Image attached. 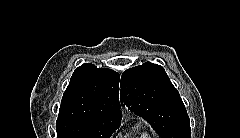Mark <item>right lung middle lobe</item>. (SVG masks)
Wrapping results in <instances>:
<instances>
[{
	"label": "right lung middle lobe",
	"instance_id": "obj_1",
	"mask_svg": "<svg viewBox=\"0 0 240 138\" xmlns=\"http://www.w3.org/2000/svg\"><path fill=\"white\" fill-rule=\"evenodd\" d=\"M118 127L76 119H58L56 130L58 138H109Z\"/></svg>",
	"mask_w": 240,
	"mask_h": 138
}]
</instances>
